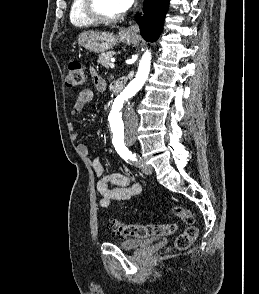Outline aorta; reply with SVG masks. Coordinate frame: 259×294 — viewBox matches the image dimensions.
Segmentation results:
<instances>
[{
	"mask_svg": "<svg viewBox=\"0 0 259 294\" xmlns=\"http://www.w3.org/2000/svg\"><path fill=\"white\" fill-rule=\"evenodd\" d=\"M151 53L147 50L140 60L135 78L115 99L108 116V131L112 141L133 142L137 136L138 117L130 109L129 100L143 87L149 72Z\"/></svg>",
	"mask_w": 259,
	"mask_h": 294,
	"instance_id": "762f6f07",
	"label": "aorta"
}]
</instances>
